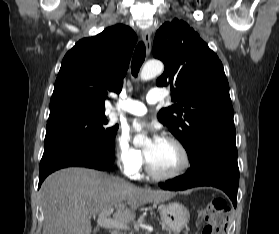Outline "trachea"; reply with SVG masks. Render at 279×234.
<instances>
[{"label": "trachea", "instance_id": "trachea-1", "mask_svg": "<svg viewBox=\"0 0 279 234\" xmlns=\"http://www.w3.org/2000/svg\"><path fill=\"white\" fill-rule=\"evenodd\" d=\"M146 56V48L143 42H139L132 58L131 70L134 77H137L139 69Z\"/></svg>", "mask_w": 279, "mask_h": 234}]
</instances>
